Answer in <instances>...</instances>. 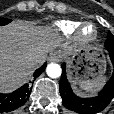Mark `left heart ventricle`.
<instances>
[{
    "mask_svg": "<svg viewBox=\"0 0 114 114\" xmlns=\"http://www.w3.org/2000/svg\"><path fill=\"white\" fill-rule=\"evenodd\" d=\"M84 32L85 34H90L92 32V29L90 27H87Z\"/></svg>",
    "mask_w": 114,
    "mask_h": 114,
    "instance_id": "1",
    "label": "left heart ventricle"
}]
</instances>
